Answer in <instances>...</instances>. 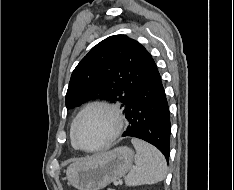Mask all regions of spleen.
<instances>
[{
    "label": "spleen",
    "instance_id": "3e777b00",
    "mask_svg": "<svg viewBox=\"0 0 234 190\" xmlns=\"http://www.w3.org/2000/svg\"><path fill=\"white\" fill-rule=\"evenodd\" d=\"M136 149L134 158L136 166L125 177L127 186L157 184L162 181L167 172V163L163 154L149 143L133 138Z\"/></svg>",
    "mask_w": 234,
    "mask_h": 190
}]
</instances>
